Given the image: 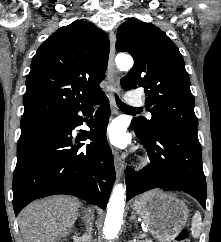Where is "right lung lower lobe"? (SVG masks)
I'll return each mask as SVG.
<instances>
[{
    "label": "right lung lower lobe",
    "mask_w": 221,
    "mask_h": 242,
    "mask_svg": "<svg viewBox=\"0 0 221 242\" xmlns=\"http://www.w3.org/2000/svg\"><path fill=\"white\" fill-rule=\"evenodd\" d=\"M95 102L101 106L87 123L91 130L72 135L82 124L78 112L88 114ZM109 116V101L102 92L81 106L21 124L13 176L16 216L33 200L55 194L73 195L105 209L115 180L106 141ZM86 139L92 142L74 144Z\"/></svg>",
    "instance_id": "98d812e1"
}]
</instances>
